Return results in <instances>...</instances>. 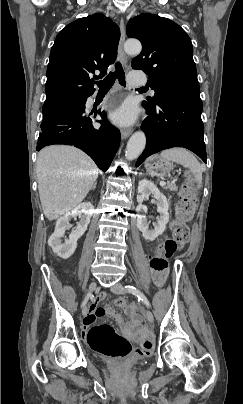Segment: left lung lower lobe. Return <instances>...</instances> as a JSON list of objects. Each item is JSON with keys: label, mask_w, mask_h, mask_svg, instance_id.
I'll list each match as a JSON object with an SVG mask.
<instances>
[{"label": "left lung lower lobe", "mask_w": 243, "mask_h": 404, "mask_svg": "<svg viewBox=\"0 0 243 404\" xmlns=\"http://www.w3.org/2000/svg\"><path fill=\"white\" fill-rule=\"evenodd\" d=\"M147 113L141 124L147 137L146 149L137 160L136 166L148 156L172 147L187 148L206 163L201 99L168 98Z\"/></svg>", "instance_id": "0a47b994"}]
</instances>
